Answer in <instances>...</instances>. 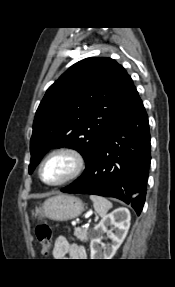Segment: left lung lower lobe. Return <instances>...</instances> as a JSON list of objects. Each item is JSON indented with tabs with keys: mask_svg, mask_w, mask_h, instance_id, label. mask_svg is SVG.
I'll list each match as a JSON object with an SVG mask.
<instances>
[{
	"mask_svg": "<svg viewBox=\"0 0 175 287\" xmlns=\"http://www.w3.org/2000/svg\"><path fill=\"white\" fill-rule=\"evenodd\" d=\"M148 116L137 100L99 144L90 169L63 188L65 193L115 197L142 211L150 167Z\"/></svg>",
	"mask_w": 175,
	"mask_h": 287,
	"instance_id": "1",
	"label": "left lung lower lobe"
}]
</instances>
